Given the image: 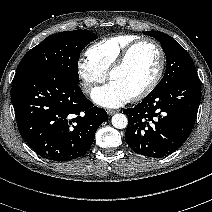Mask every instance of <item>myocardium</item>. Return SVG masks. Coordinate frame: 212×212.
Instances as JSON below:
<instances>
[{"mask_svg": "<svg viewBox=\"0 0 212 212\" xmlns=\"http://www.w3.org/2000/svg\"><path fill=\"white\" fill-rule=\"evenodd\" d=\"M142 44H149L152 45L158 52L159 54V65H158V69L154 75V77L151 79V81L142 89L140 90L138 93H136L135 95H133L131 97V100L133 101H138L141 100L143 98H145L146 96H148L159 84L164 70H165V65H166V55L165 52L162 48V46L156 42L153 39L150 38H139L135 41H133L132 43H130L121 53V55L119 56V58L116 60V62L111 66V68L108 71V79L111 81L112 76L119 70H121L127 63V61L129 60L132 52L140 45Z\"/></svg>", "mask_w": 212, "mask_h": 212, "instance_id": "obj_1", "label": "myocardium"}]
</instances>
